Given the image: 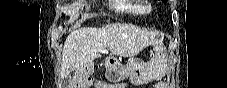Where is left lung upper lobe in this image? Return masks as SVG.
Wrapping results in <instances>:
<instances>
[{
  "label": "left lung upper lobe",
  "instance_id": "1",
  "mask_svg": "<svg viewBox=\"0 0 227 88\" xmlns=\"http://www.w3.org/2000/svg\"><path fill=\"white\" fill-rule=\"evenodd\" d=\"M164 3L167 2V0H162Z\"/></svg>",
  "mask_w": 227,
  "mask_h": 88
}]
</instances>
